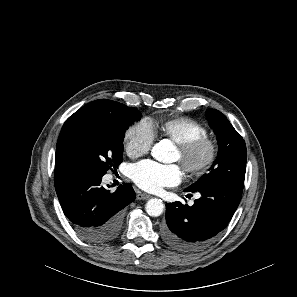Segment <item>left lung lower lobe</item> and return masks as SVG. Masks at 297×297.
Returning a JSON list of instances; mask_svg holds the SVG:
<instances>
[{
  "label": "left lung lower lobe",
  "instance_id": "1",
  "mask_svg": "<svg viewBox=\"0 0 297 297\" xmlns=\"http://www.w3.org/2000/svg\"><path fill=\"white\" fill-rule=\"evenodd\" d=\"M244 185L213 183L185 192H199L193 206L166 204V223L161 234L172 249L192 252L205 246L229 223L236 211Z\"/></svg>",
  "mask_w": 297,
  "mask_h": 297
}]
</instances>
